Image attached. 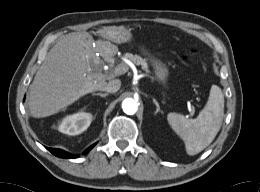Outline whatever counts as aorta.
Wrapping results in <instances>:
<instances>
[{"instance_id": "1", "label": "aorta", "mask_w": 260, "mask_h": 192, "mask_svg": "<svg viewBox=\"0 0 260 192\" xmlns=\"http://www.w3.org/2000/svg\"><path fill=\"white\" fill-rule=\"evenodd\" d=\"M122 109L128 115H133L138 110V103L133 98H126L122 101Z\"/></svg>"}]
</instances>
